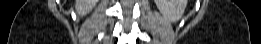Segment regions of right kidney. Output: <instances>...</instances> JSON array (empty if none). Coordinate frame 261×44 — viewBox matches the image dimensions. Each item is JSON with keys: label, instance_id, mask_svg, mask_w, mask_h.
<instances>
[{"label": "right kidney", "instance_id": "obj_1", "mask_svg": "<svg viewBox=\"0 0 261 44\" xmlns=\"http://www.w3.org/2000/svg\"><path fill=\"white\" fill-rule=\"evenodd\" d=\"M98 0H76L75 9L79 15H86L95 6Z\"/></svg>", "mask_w": 261, "mask_h": 44}]
</instances>
